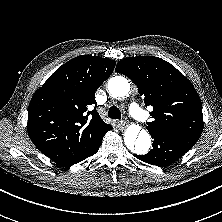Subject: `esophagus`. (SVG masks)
<instances>
[{"instance_id": "1", "label": "esophagus", "mask_w": 222, "mask_h": 222, "mask_svg": "<svg viewBox=\"0 0 222 222\" xmlns=\"http://www.w3.org/2000/svg\"><path fill=\"white\" fill-rule=\"evenodd\" d=\"M127 125V121L125 119L118 122V126L120 128H124Z\"/></svg>"}]
</instances>
